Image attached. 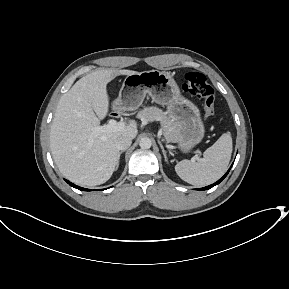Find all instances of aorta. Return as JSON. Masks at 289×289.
<instances>
[{
	"label": "aorta",
	"mask_w": 289,
	"mask_h": 289,
	"mask_svg": "<svg viewBox=\"0 0 289 289\" xmlns=\"http://www.w3.org/2000/svg\"><path fill=\"white\" fill-rule=\"evenodd\" d=\"M139 145L142 149H149L152 145V141L148 137L141 138Z\"/></svg>",
	"instance_id": "762f6f07"
}]
</instances>
